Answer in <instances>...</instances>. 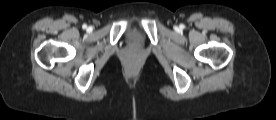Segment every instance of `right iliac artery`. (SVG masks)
<instances>
[{
	"label": "right iliac artery",
	"mask_w": 276,
	"mask_h": 120,
	"mask_svg": "<svg viewBox=\"0 0 276 120\" xmlns=\"http://www.w3.org/2000/svg\"><path fill=\"white\" fill-rule=\"evenodd\" d=\"M82 28H83V29H86V28H87V25H86V24H83Z\"/></svg>",
	"instance_id": "right-iliac-artery-1"
}]
</instances>
